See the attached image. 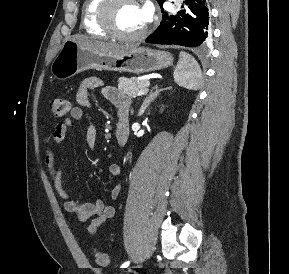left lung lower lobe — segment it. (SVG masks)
Segmentation results:
<instances>
[{
    "label": "left lung lower lobe",
    "instance_id": "1",
    "mask_svg": "<svg viewBox=\"0 0 289 274\" xmlns=\"http://www.w3.org/2000/svg\"><path fill=\"white\" fill-rule=\"evenodd\" d=\"M163 2L160 7L163 12ZM186 9L171 15L163 12L160 26L146 40L148 43L199 47L211 36L207 0H185Z\"/></svg>",
    "mask_w": 289,
    "mask_h": 274
}]
</instances>
